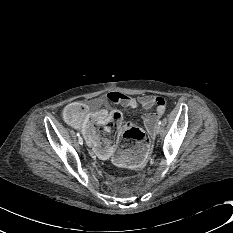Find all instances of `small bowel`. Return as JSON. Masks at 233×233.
I'll return each mask as SVG.
<instances>
[{
    "label": "small bowel",
    "instance_id": "obj_1",
    "mask_svg": "<svg viewBox=\"0 0 233 233\" xmlns=\"http://www.w3.org/2000/svg\"><path fill=\"white\" fill-rule=\"evenodd\" d=\"M110 103L128 108L140 106L146 110L155 107V112L148 113L143 117L147 130L152 132L156 122L165 112L166 100L161 96L144 94L131 97L124 93L112 91L95 100L82 102L85 113L79 123L72 124L73 127L81 131L95 156L117 164H124L125 167L130 169H139L142 167L144 160L150 156V147L146 143H137L132 149H121L116 146V140L102 138L100 131L95 127V124L99 125L104 133H108L111 127L120 131L122 114L116 110L108 112L103 108ZM104 116H108L106 121L102 120Z\"/></svg>",
    "mask_w": 233,
    "mask_h": 233
}]
</instances>
